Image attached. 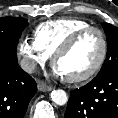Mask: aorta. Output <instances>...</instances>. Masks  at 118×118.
<instances>
[{"instance_id":"762f6f07","label":"aorta","mask_w":118,"mask_h":118,"mask_svg":"<svg viewBox=\"0 0 118 118\" xmlns=\"http://www.w3.org/2000/svg\"><path fill=\"white\" fill-rule=\"evenodd\" d=\"M51 99L56 105L59 106L65 105L68 101L67 94L62 89L53 90L51 92Z\"/></svg>"}]
</instances>
